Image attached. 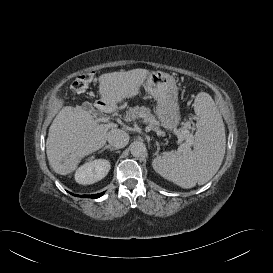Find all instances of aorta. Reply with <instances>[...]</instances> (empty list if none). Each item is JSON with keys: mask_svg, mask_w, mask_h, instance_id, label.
<instances>
[{"mask_svg": "<svg viewBox=\"0 0 273 273\" xmlns=\"http://www.w3.org/2000/svg\"><path fill=\"white\" fill-rule=\"evenodd\" d=\"M130 152L134 157H142L146 154L147 148L143 142L135 141L130 145Z\"/></svg>", "mask_w": 273, "mask_h": 273, "instance_id": "aorta-1", "label": "aorta"}]
</instances>
